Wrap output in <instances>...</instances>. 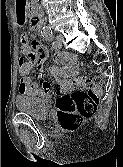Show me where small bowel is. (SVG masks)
<instances>
[{"mask_svg":"<svg viewBox=\"0 0 123 167\" xmlns=\"http://www.w3.org/2000/svg\"><path fill=\"white\" fill-rule=\"evenodd\" d=\"M16 9L15 14H17V24H27V13H25L27 9L28 1L25 0H15ZM37 22L35 19H32L31 26L32 28H36ZM21 42V52L22 54L29 59V64L24 70H20L21 79L18 91L21 95L26 96H43L44 90L36 83H33L28 76L29 73L33 69V64L35 63H42L48 56L47 49L40 43L36 42L30 43L29 36L27 34H22L20 37ZM61 54L56 55V59ZM54 73L57 76L58 81L63 83L64 88H68L70 86L69 80L74 73V67L72 65H68L66 67V71H60L55 69Z\"/></svg>","mask_w":123,"mask_h":167,"instance_id":"obj_1","label":"small bowel"}]
</instances>
